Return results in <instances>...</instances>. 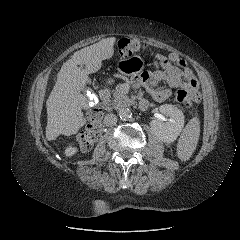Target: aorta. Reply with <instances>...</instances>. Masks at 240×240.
I'll list each match as a JSON object with an SVG mask.
<instances>
[{"mask_svg": "<svg viewBox=\"0 0 240 240\" xmlns=\"http://www.w3.org/2000/svg\"><path fill=\"white\" fill-rule=\"evenodd\" d=\"M118 115L122 120H128L132 116V112L129 108L123 107L118 111Z\"/></svg>", "mask_w": 240, "mask_h": 240, "instance_id": "obj_1", "label": "aorta"}]
</instances>
